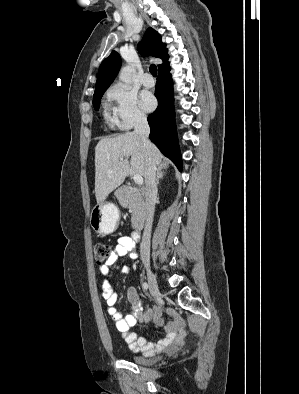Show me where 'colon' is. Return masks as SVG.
I'll use <instances>...</instances> for the list:
<instances>
[{
  "label": "colon",
  "mask_w": 299,
  "mask_h": 394,
  "mask_svg": "<svg viewBox=\"0 0 299 394\" xmlns=\"http://www.w3.org/2000/svg\"><path fill=\"white\" fill-rule=\"evenodd\" d=\"M95 260L99 264L106 263L111 257V247L105 242H96L93 246Z\"/></svg>",
  "instance_id": "1"
}]
</instances>
